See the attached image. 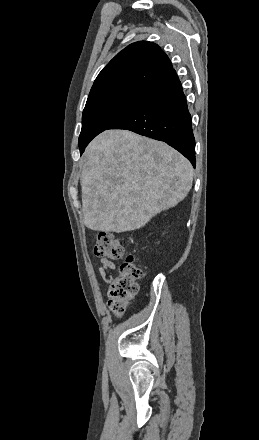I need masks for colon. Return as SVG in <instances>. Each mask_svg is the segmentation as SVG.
I'll return each instance as SVG.
<instances>
[{
  "label": "colon",
  "instance_id": "5ec220e1",
  "mask_svg": "<svg viewBox=\"0 0 259 440\" xmlns=\"http://www.w3.org/2000/svg\"><path fill=\"white\" fill-rule=\"evenodd\" d=\"M97 257L108 260L124 259L118 274L110 282L108 291V305L112 312L121 316L128 302L138 292V280L142 278L143 271L135 263L131 254H127L121 242L111 233L101 232L97 236L94 246Z\"/></svg>",
  "mask_w": 259,
  "mask_h": 440
}]
</instances>
